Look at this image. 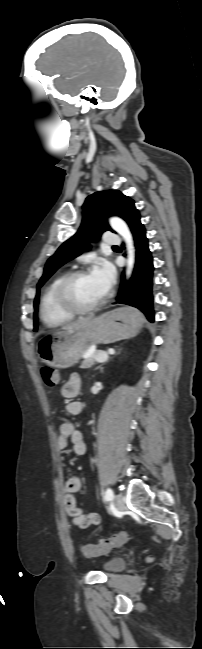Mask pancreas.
Masks as SVG:
<instances>
[{
  "label": "pancreas",
  "mask_w": 202,
  "mask_h": 649,
  "mask_svg": "<svg viewBox=\"0 0 202 649\" xmlns=\"http://www.w3.org/2000/svg\"><path fill=\"white\" fill-rule=\"evenodd\" d=\"M99 353H106V354H107V352H105V351H101V350L96 351V354H99ZM95 362H96V361H95V354H94L93 356H91V357L85 359V360L82 362L80 368H82V369L90 368V367H92V366L95 364Z\"/></svg>",
  "instance_id": "pancreas-1"
}]
</instances>
